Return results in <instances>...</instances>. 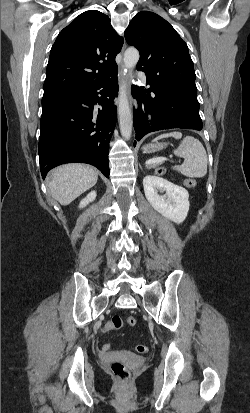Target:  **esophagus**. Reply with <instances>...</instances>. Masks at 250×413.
<instances>
[{
	"instance_id": "esophagus-1",
	"label": "esophagus",
	"mask_w": 250,
	"mask_h": 413,
	"mask_svg": "<svg viewBox=\"0 0 250 413\" xmlns=\"http://www.w3.org/2000/svg\"><path fill=\"white\" fill-rule=\"evenodd\" d=\"M125 48H126V43L124 42L123 47H122V53L125 50ZM123 70H124V66H123V64H120L119 67H118V78L119 79H122V77H123ZM129 101H130L131 106L133 104L136 105L135 102L131 99L130 96H129Z\"/></svg>"
}]
</instances>
